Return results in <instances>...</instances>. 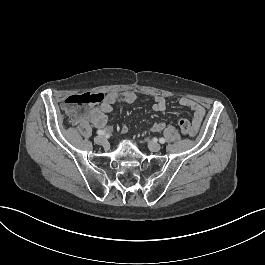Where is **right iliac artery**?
Masks as SVG:
<instances>
[{
    "instance_id": "82829eb1",
    "label": "right iliac artery",
    "mask_w": 265,
    "mask_h": 265,
    "mask_svg": "<svg viewBox=\"0 0 265 265\" xmlns=\"http://www.w3.org/2000/svg\"><path fill=\"white\" fill-rule=\"evenodd\" d=\"M97 134H98V135H104V134H105V131H103V130H98V131H97Z\"/></svg>"
}]
</instances>
